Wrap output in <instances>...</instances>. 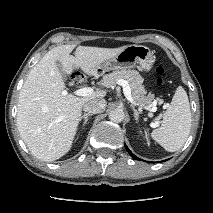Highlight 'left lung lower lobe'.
I'll return each mask as SVG.
<instances>
[{
  "instance_id": "1",
  "label": "left lung lower lobe",
  "mask_w": 213,
  "mask_h": 213,
  "mask_svg": "<svg viewBox=\"0 0 213 213\" xmlns=\"http://www.w3.org/2000/svg\"><path fill=\"white\" fill-rule=\"evenodd\" d=\"M125 148H126L127 152L130 154V156L133 157V159L140 160L137 156L133 155V153L129 150V148L126 145H125Z\"/></svg>"
}]
</instances>
